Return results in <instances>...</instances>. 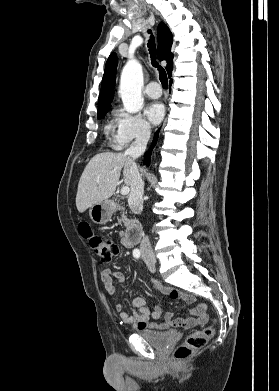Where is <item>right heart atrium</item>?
Returning <instances> with one entry per match:
<instances>
[{"instance_id": "1", "label": "right heart atrium", "mask_w": 279, "mask_h": 391, "mask_svg": "<svg viewBox=\"0 0 279 391\" xmlns=\"http://www.w3.org/2000/svg\"><path fill=\"white\" fill-rule=\"evenodd\" d=\"M151 133L150 124L141 114L123 109L115 111L113 147L121 150L132 142L145 141Z\"/></svg>"}]
</instances>
